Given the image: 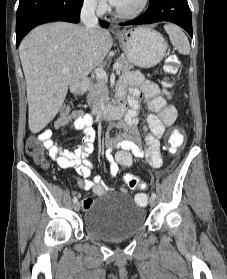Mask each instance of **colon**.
<instances>
[{
	"instance_id": "obj_1",
	"label": "colon",
	"mask_w": 227,
	"mask_h": 279,
	"mask_svg": "<svg viewBox=\"0 0 227 279\" xmlns=\"http://www.w3.org/2000/svg\"><path fill=\"white\" fill-rule=\"evenodd\" d=\"M175 64H177L179 61H173ZM171 72L176 71V66H173L170 69ZM165 85L167 88H172L173 87V82L169 79L166 78L164 81ZM68 107H66V110ZM185 140V134L182 132V130L175 128L173 129L168 138V150L171 154H176L179 148L183 145ZM27 153L34 159L36 163L43 164L45 163V157L42 151V147L39 145V143L36 140H30L27 143L26 147ZM124 181L125 184L130 188V189H143L144 183L142 179L135 175L128 173L124 176ZM135 201L138 204H143L147 202V194L145 192H139L136 195Z\"/></svg>"
}]
</instances>
